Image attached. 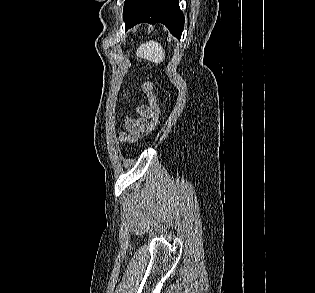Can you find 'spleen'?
<instances>
[{
    "instance_id": "1",
    "label": "spleen",
    "mask_w": 315,
    "mask_h": 293,
    "mask_svg": "<svg viewBox=\"0 0 315 293\" xmlns=\"http://www.w3.org/2000/svg\"><path fill=\"white\" fill-rule=\"evenodd\" d=\"M136 55L139 58L147 59L156 64L163 62L165 59V51L157 41L146 42L137 49Z\"/></svg>"
}]
</instances>
